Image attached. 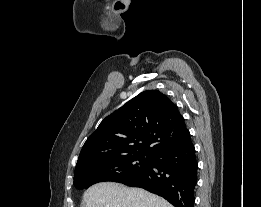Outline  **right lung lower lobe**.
<instances>
[{"instance_id":"right-lung-lower-lobe-1","label":"right lung lower lobe","mask_w":261,"mask_h":207,"mask_svg":"<svg viewBox=\"0 0 261 207\" xmlns=\"http://www.w3.org/2000/svg\"><path fill=\"white\" fill-rule=\"evenodd\" d=\"M198 164L191 140L151 157L149 165L119 183L144 188L175 207H193Z\"/></svg>"}]
</instances>
